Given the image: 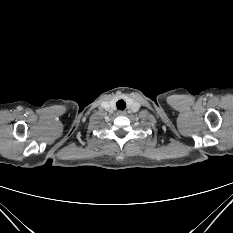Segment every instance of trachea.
<instances>
[{
    "instance_id": "obj_1",
    "label": "trachea",
    "mask_w": 233,
    "mask_h": 233,
    "mask_svg": "<svg viewBox=\"0 0 233 233\" xmlns=\"http://www.w3.org/2000/svg\"><path fill=\"white\" fill-rule=\"evenodd\" d=\"M116 106H117V109L124 110L126 107V103L124 100L121 99L117 101Z\"/></svg>"
}]
</instances>
